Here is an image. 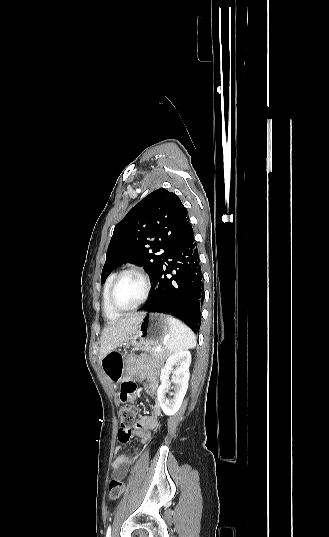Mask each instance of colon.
Instances as JSON below:
<instances>
[{"label":"colon","instance_id":"obj_1","mask_svg":"<svg viewBox=\"0 0 329 537\" xmlns=\"http://www.w3.org/2000/svg\"><path fill=\"white\" fill-rule=\"evenodd\" d=\"M131 381V380H128ZM134 399L129 400V403L122 407L120 411V422L122 430H131L132 427L137 425V408L132 405ZM119 431V432H120ZM124 491V483L119 479H112L109 483V497L115 500L121 496Z\"/></svg>","mask_w":329,"mask_h":537}]
</instances>
